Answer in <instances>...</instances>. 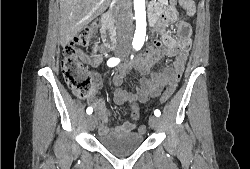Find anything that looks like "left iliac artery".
I'll list each match as a JSON object with an SVG mask.
<instances>
[{
	"label": "left iliac artery",
	"mask_w": 250,
	"mask_h": 169,
	"mask_svg": "<svg viewBox=\"0 0 250 169\" xmlns=\"http://www.w3.org/2000/svg\"><path fill=\"white\" fill-rule=\"evenodd\" d=\"M132 58H133V55L131 56V59H132ZM154 115L157 116V117H159V116L161 115L160 110L156 109V110L154 111Z\"/></svg>",
	"instance_id": "44dca946"
}]
</instances>
